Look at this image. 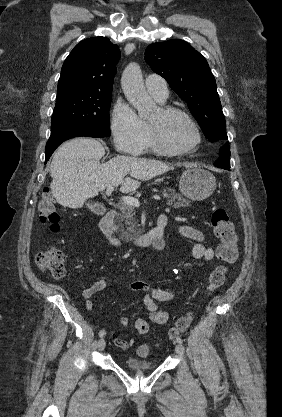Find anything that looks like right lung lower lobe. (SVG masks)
Masks as SVG:
<instances>
[{"label": "right lung lower lobe", "instance_id": "1", "mask_svg": "<svg viewBox=\"0 0 282 417\" xmlns=\"http://www.w3.org/2000/svg\"><path fill=\"white\" fill-rule=\"evenodd\" d=\"M78 136H88V137H96L102 138L107 137L104 134L99 132L90 130L88 128L80 127V126H73L69 128H65L54 133H51V136L46 144L45 153H46V162L54 152V150L65 140L78 137Z\"/></svg>", "mask_w": 282, "mask_h": 417}]
</instances>
